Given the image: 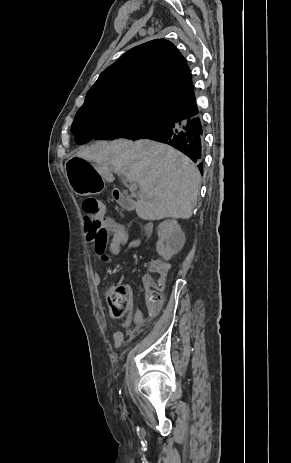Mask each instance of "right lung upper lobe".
<instances>
[{
  "label": "right lung upper lobe",
  "mask_w": 291,
  "mask_h": 463,
  "mask_svg": "<svg viewBox=\"0 0 291 463\" xmlns=\"http://www.w3.org/2000/svg\"><path fill=\"white\" fill-rule=\"evenodd\" d=\"M191 77L185 58L170 41L152 40L107 67L80 109L119 105L191 119L199 113Z\"/></svg>",
  "instance_id": "1"
}]
</instances>
